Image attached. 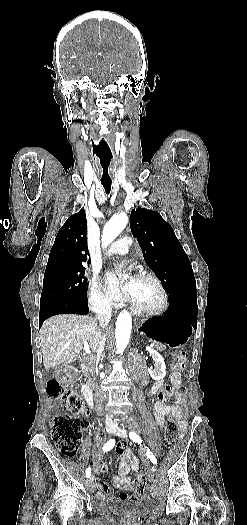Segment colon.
<instances>
[{
    "label": "colon",
    "instance_id": "1",
    "mask_svg": "<svg viewBox=\"0 0 247 525\" xmlns=\"http://www.w3.org/2000/svg\"><path fill=\"white\" fill-rule=\"evenodd\" d=\"M174 364L178 372H183L187 356L183 351L173 355ZM174 368L169 370L171 375L176 373ZM47 393L50 398L58 400L67 409L65 414L56 416L52 424V438L60 453L67 458L76 456L81 446L83 432L88 428L86 408L82 397L70 387L62 385L59 381L51 379L47 383ZM178 436V425L174 418L169 417L165 425L164 439L167 445L174 444ZM139 484L138 496L145 490L143 475L137 479Z\"/></svg>",
    "mask_w": 247,
    "mask_h": 525
}]
</instances>
